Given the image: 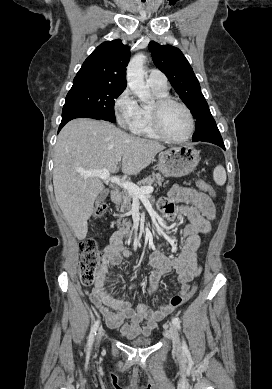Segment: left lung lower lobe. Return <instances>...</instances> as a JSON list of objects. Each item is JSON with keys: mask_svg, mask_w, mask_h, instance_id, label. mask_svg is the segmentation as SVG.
<instances>
[{"mask_svg": "<svg viewBox=\"0 0 272 389\" xmlns=\"http://www.w3.org/2000/svg\"><path fill=\"white\" fill-rule=\"evenodd\" d=\"M192 141H194V142L195 141L210 142V143H213V144L220 146L221 148H223L225 150V146H224L222 137H221L220 132H219L217 127L211 129L210 131L205 133L200 138H197V139L192 140Z\"/></svg>", "mask_w": 272, "mask_h": 389, "instance_id": "0a47b994", "label": "left lung lower lobe"}]
</instances>
